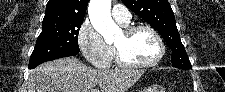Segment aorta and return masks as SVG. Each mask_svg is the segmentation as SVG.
<instances>
[{
    "label": "aorta",
    "mask_w": 225,
    "mask_h": 92,
    "mask_svg": "<svg viewBox=\"0 0 225 92\" xmlns=\"http://www.w3.org/2000/svg\"><path fill=\"white\" fill-rule=\"evenodd\" d=\"M110 9L111 0H91L88 6L91 24L105 41L112 40L119 31V27L112 20Z\"/></svg>",
    "instance_id": "762f6f07"
}]
</instances>
